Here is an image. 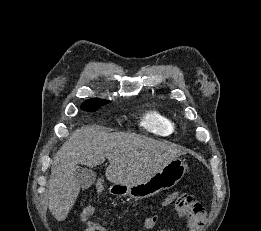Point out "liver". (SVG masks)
I'll return each instance as SVG.
<instances>
[{"label":"liver","instance_id":"obj_1","mask_svg":"<svg viewBox=\"0 0 261 231\" xmlns=\"http://www.w3.org/2000/svg\"><path fill=\"white\" fill-rule=\"evenodd\" d=\"M184 154L175 144L135 133H106L99 127H81L54 157L47 184L49 210L57 221L67 218L80 192L75 176L79 164L93 168L107 158V180L129 185L146 180Z\"/></svg>","mask_w":261,"mask_h":231}]
</instances>
